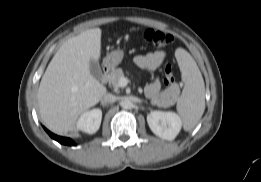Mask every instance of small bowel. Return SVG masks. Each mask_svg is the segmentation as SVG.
Masks as SVG:
<instances>
[{
  "mask_svg": "<svg viewBox=\"0 0 261 182\" xmlns=\"http://www.w3.org/2000/svg\"><path fill=\"white\" fill-rule=\"evenodd\" d=\"M167 53L165 51L159 50L154 52H149L143 55H138L134 58V62L137 67L144 71H152L158 68L166 59ZM160 91V82L157 79L152 80L145 87L146 97L153 99Z\"/></svg>",
  "mask_w": 261,
  "mask_h": 182,
  "instance_id": "small-bowel-1",
  "label": "small bowel"
}]
</instances>
